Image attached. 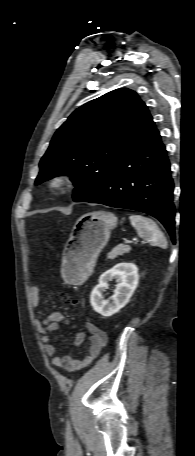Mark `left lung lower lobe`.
<instances>
[{
	"label": "left lung lower lobe",
	"instance_id": "obj_1",
	"mask_svg": "<svg viewBox=\"0 0 195 456\" xmlns=\"http://www.w3.org/2000/svg\"><path fill=\"white\" fill-rule=\"evenodd\" d=\"M173 187L165 146L148 114L104 184L84 202L147 213L165 226L174 242Z\"/></svg>",
	"mask_w": 195,
	"mask_h": 456
}]
</instances>
